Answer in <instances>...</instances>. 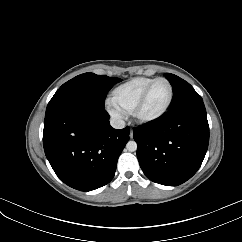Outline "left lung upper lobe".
<instances>
[{
  "label": "left lung upper lobe",
  "mask_w": 242,
  "mask_h": 242,
  "mask_svg": "<svg viewBox=\"0 0 242 242\" xmlns=\"http://www.w3.org/2000/svg\"><path fill=\"white\" fill-rule=\"evenodd\" d=\"M165 77L173 88V98L169 110L189 102L203 101L201 96L185 80L170 73H166Z\"/></svg>",
  "instance_id": "1"
}]
</instances>
